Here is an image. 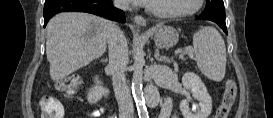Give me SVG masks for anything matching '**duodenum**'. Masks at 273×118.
Wrapping results in <instances>:
<instances>
[{"instance_id": "obj_1", "label": "duodenum", "mask_w": 273, "mask_h": 118, "mask_svg": "<svg viewBox=\"0 0 273 118\" xmlns=\"http://www.w3.org/2000/svg\"><path fill=\"white\" fill-rule=\"evenodd\" d=\"M94 80H95L96 86L101 91V93L105 97H109L110 91H109L107 85L98 76H95Z\"/></svg>"}]
</instances>
